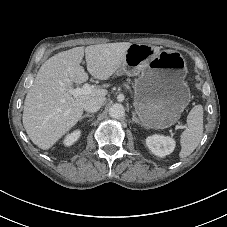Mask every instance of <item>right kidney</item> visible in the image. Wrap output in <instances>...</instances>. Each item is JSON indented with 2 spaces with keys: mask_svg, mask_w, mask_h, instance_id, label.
Listing matches in <instances>:
<instances>
[{
  "mask_svg": "<svg viewBox=\"0 0 227 227\" xmlns=\"http://www.w3.org/2000/svg\"><path fill=\"white\" fill-rule=\"evenodd\" d=\"M81 131L75 130L71 134H68L65 139L63 140V144L65 146H71L73 145L80 137Z\"/></svg>",
  "mask_w": 227,
  "mask_h": 227,
  "instance_id": "1",
  "label": "right kidney"
}]
</instances>
